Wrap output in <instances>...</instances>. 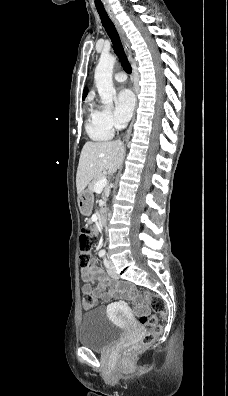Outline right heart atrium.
<instances>
[{"instance_id": "right-heart-atrium-1", "label": "right heart atrium", "mask_w": 228, "mask_h": 396, "mask_svg": "<svg viewBox=\"0 0 228 396\" xmlns=\"http://www.w3.org/2000/svg\"><path fill=\"white\" fill-rule=\"evenodd\" d=\"M99 119L107 128L111 130L120 129L123 124L122 122L114 115V113L107 108H99L97 110Z\"/></svg>"}]
</instances>
